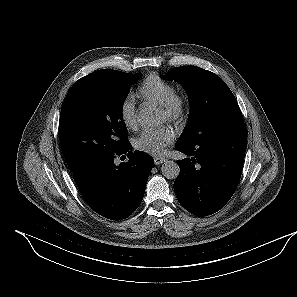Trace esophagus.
Here are the masks:
<instances>
[{
  "label": "esophagus",
  "instance_id": "1",
  "mask_svg": "<svg viewBox=\"0 0 297 297\" xmlns=\"http://www.w3.org/2000/svg\"><path fill=\"white\" fill-rule=\"evenodd\" d=\"M165 161V158L162 157H155L154 158V163L155 165H160L161 163H163Z\"/></svg>",
  "mask_w": 297,
  "mask_h": 297
}]
</instances>
